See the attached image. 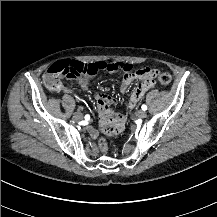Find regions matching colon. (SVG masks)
Segmentation results:
<instances>
[{"mask_svg":"<svg viewBox=\"0 0 217 217\" xmlns=\"http://www.w3.org/2000/svg\"><path fill=\"white\" fill-rule=\"evenodd\" d=\"M131 66L126 62H94V63H80L75 60H68L52 65L45 73V79L49 88L53 91H58L62 88L63 83L60 80L62 76L71 79L75 76L95 74L99 71H128ZM135 76L142 79L144 82L152 81L155 78V69L141 68L135 72ZM171 81V77L168 73L161 76L160 83L168 85ZM98 146L101 148V154L107 155L108 149L106 137L100 136Z\"/></svg>","mask_w":217,"mask_h":217,"instance_id":"colon-1","label":"colon"}]
</instances>
